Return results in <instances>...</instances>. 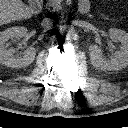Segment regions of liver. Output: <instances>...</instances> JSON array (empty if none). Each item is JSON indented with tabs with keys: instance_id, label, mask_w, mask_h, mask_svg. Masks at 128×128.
Instances as JSON below:
<instances>
[{
	"instance_id": "6515ba94",
	"label": "liver",
	"mask_w": 128,
	"mask_h": 128,
	"mask_svg": "<svg viewBox=\"0 0 128 128\" xmlns=\"http://www.w3.org/2000/svg\"><path fill=\"white\" fill-rule=\"evenodd\" d=\"M33 14V10L21 0H0V26L29 19Z\"/></svg>"
}]
</instances>
